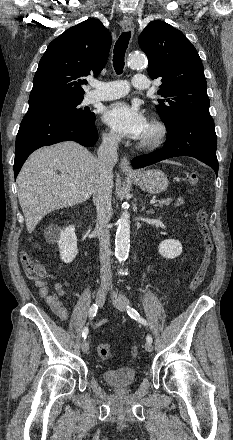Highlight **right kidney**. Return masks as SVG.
I'll return each mask as SVG.
<instances>
[{"label":"right kidney","instance_id":"right-kidney-1","mask_svg":"<svg viewBox=\"0 0 233 440\" xmlns=\"http://www.w3.org/2000/svg\"><path fill=\"white\" fill-rule=\"evenodd\" d=\"M48 242H56L60 251V258L64 263H71L78 254L77 237L74 225L60 229L58 226L51 225L45 231Z\"/></svg>","mask_w":233,"mask_h":440}]
</instances>
